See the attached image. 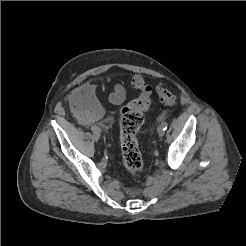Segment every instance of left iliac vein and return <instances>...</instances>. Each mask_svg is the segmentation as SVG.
<instances>
[{"instance_id":"left-iliac-vein-1","label":"left iliac vein","mask_w":246,"mask_h":246,"mask_svg":"<svg viewBox=\"0 0 246 246\" xmlns=\"http://www.w3.org/2000/svg\"><path fill=\"white\" fill-rule=\"evenodd\" d=\"M164 134H165V131L163 130L162 126H160V127L158 128V135H159L160 137H163Z\"/></svg>"}]
</instances>
